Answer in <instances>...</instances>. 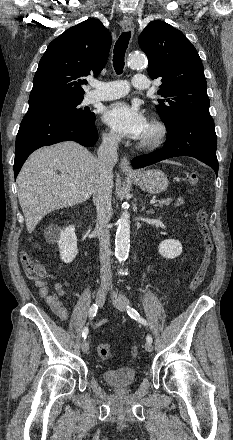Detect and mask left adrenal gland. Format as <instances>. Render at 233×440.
Returning a JSON list of instances; mask_svg holds the SVG:
<instances>
[{"instance_id":"a2214340","label":"left adrenal gland","mask_w":233,"mask_h":440,"mask_svg":"<svg viewBox=\"0 0 233 440\" xmlns=\"http://www.w3.org/2000/svg\"><path fill=\"white\" fill-rule=\"evenodd\" d=\"M153 213H154V211H147V214H153Z\"/></svg>"}]
</instances>
